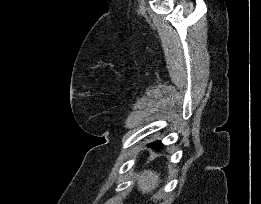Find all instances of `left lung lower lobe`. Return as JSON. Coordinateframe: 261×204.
Masks as SVG:
<instances>
[{
    "label": "left lung lower lobe",
    "instance_id": "obj_1",
    "mask_svg": "<svg viewBox=\"0 0 261 204\" xmlns=\"http://www.w3.org/2000/svg\"><path fill=\"white\" fill-rule=\"evenodd\" d=\"M151 146H155L156 148L159 146L158 142L152 143Z\"/></svg>",
    "mask_w": 261,
    "mask_h": 204
}]
</instances>
